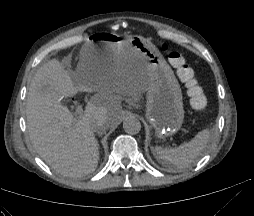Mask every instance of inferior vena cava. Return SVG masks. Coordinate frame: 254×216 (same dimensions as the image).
I'll use <instances>...</instances> for the list:
<instances>
[{
  "label": "inferior vena cava",
  "mask_w": 254,
  "mask_h": 216,
  "mask_svg": "<svg viewBox=\"0 0 254 216\" xmlns=\"http://www.w3.org/2000/svg\"><path fill=\"white\" fill-rule=\"evenodd\" d=\"M108 123L105 118H99L91 124V128L94 132L102 133L107 130Z\"/></svg>",
  "instance_id": "1"
}]
</instances>
